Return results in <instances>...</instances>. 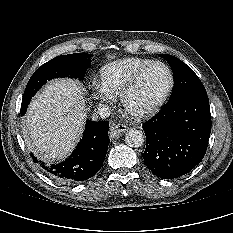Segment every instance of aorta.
I'll use <instances>...</instances> for the list:
<instances>
[{"instance_id":"aorta-1","label":"aorta","mask_w":233,"mask_h":233,"mask_svg":"<svg viewBox=\"0 0 233 233\" xmlns=\"http://www.w3.org/2000/svg\"><path fill=\"white\" fill-rule=\"evenodd\" d=\"M145 136L142 131L129 130L125 135V143L130 147H141L144 144Z\"/></svg>"}]
</instances>
